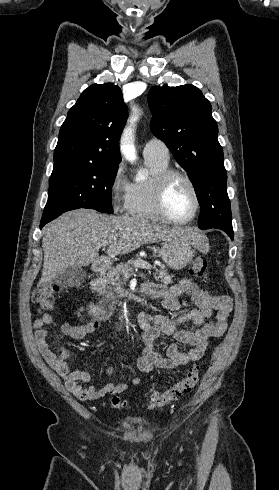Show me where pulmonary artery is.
Masks as SVG:
<instances>
[{
  "label": "pulmonary artery",
  "instance_id": "1",
  "mask_svg": "<svg viewBox=\"0 0 279 490\" xmlns=\"http://www.w3.org/2000/svg\"><path fill=\"white\" fill-rule=\"evenodd\" d=\"M145 158H158L161 160H169L170 152L166 143L157 137L149 139L143 148Z\"/></svg>",
  "mask_w": 279,
  "mask_h": 490
}]
</instances>
